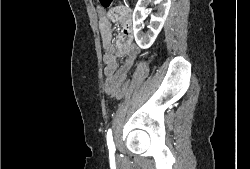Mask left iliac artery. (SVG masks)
Segmentation results:
<instances>
[{
    "label": "left iliac artery",
    "mask_w": 250,
    "mask_h": 169,
    "mask_svg": "<svg viewBox=\"0 0 250 169\" xmlns=\"http://www.w3.org/2000/svg\"><path fill=\"white\" fill-rule=\"evenodd\" d=\"M107 145H108L109 151H115V145H114V142H113L112 130L111 129H108V132H107Z\"/></svg>",
    "instance_id": "44dca946"
}]
</instances>
